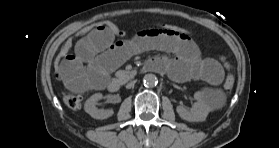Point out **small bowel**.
I'll use <instances>...</instances> for the list:
<instances>
[{
	"mask_svg": "<svg viewBox=\"0 0 279 148\" xmlns=\"http://www.w3.org/2000/svg\"><path fill=\"white\" fill-rule=\"evenodd\" d=\"M149 50L165 53L148 61L151 69L166 72L176 81L200 79L210 85H219L223 80L222 66L213 59L202 57L193 40L159 30L121 40H115L107 30H92L77 41L74 53L62 60L59 77L74 92L102 89L110 72L131 57Z\"/></svg>",
	"mask_w": 279,
	"mask_h": 148,
	"instance_id": "small-bowel-1",
	"label": "small bowel"
}]
</instances>
